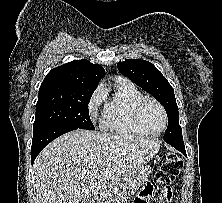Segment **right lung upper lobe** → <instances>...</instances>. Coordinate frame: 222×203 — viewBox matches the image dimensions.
I'll return each instance as SVG.
<instances>
[{
  "instance_id": "obj_1",
  "label": "right lung upper lobe",
  "mask_w": 222,
  "mask_h": 203,
  "mask_svg": "<svg viewBox=\"0 0 222 203\" xmlns=\"http://www.w3.org/2000/svg\"><path fill=\"white\" fill-rule=\"evenodd\" d=\"M105 76V70L86 59L74 60L52 69L41 83L40 89L52 87L96 89Z\"/></svg>"
}]
</instances>
